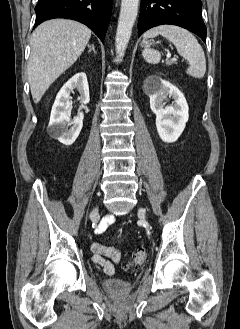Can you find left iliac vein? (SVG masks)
Returning a JSON list of instances; mask_svg holds the SVG:
<instances>
[{"mask_svg": "<svg viewBox=\"0 0 240 329\" xmlns=\"http://www.w3.org/2000/svg\"><path fill=\"white\" fill-rule=\"evenodd\" d=\"M139 213H140V215L145 216V210L144 209L140 208Z\"/></svg>", "mask_w": 240, "mask_h": 329, "instance_id": "1", "label": "left iliac vein"}]
</instances>
